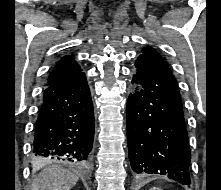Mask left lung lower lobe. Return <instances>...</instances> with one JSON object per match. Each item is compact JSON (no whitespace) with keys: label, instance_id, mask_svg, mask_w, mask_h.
<instances>
[{"label":"left lung lower lobe","instance_id":"1","mask_svg":"<svg viewBox=\"0 0 221 190\" xmlns=\"http://www.w3.org/2000/svg\"><path fill=\"white\" fill-rule=\"evenodd\" d=\"M127 100L129 159L135 173L190 185V147L182 99L172 72L147 56L135 63Z\"/></svg>","mask_w":221,"mask_h":190}]
</instances>
